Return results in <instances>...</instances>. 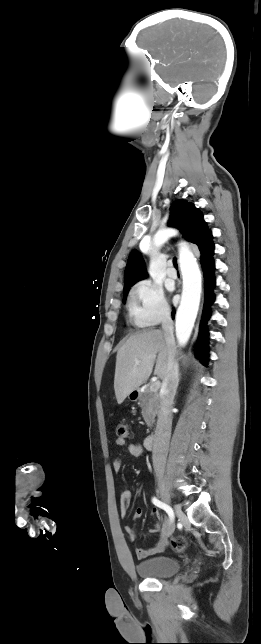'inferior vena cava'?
<instances>
[{"instance_id":"inferior-vena-cava-1","label":"inferior vena cava","mask_w":261,"mask_h":644,"mask_svg":"<svg viewBox=\"0 0 261 644\" xmlns=\"http://www.w3.org/2000/svg\"><path fill=\"white\" fill-rule=\"evenodd\" d=\"M162 329L164 331L166 342L170 347V352L167 364V374L161 387L158 420L153 442L152 460L154 471L157 474H163L165 470L172 427L171 409L179 382V366L175 358L174 327L170 312H165L163 315Z\"/></svg>"}]
</instances>
